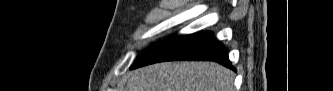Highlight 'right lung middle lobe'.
<instances>
[{
    "label": "right lung middle lobe",
    "mask_w": 333,
    "mask_h": 91,
    "mask_svg": "<svg viewBox=\"0 0 333 91\" xmlns=\"http://www.w3.org/2000/svg\"><path fill=\"white\" fill-rule=\"evenodd\" d=\"M163 41H164V40H163ZM160 43H161V42H160ZM160 43H159V44H160ZM157 45H158V44H157ZM157 45H155V46H157ZM155 46H154V47H155ZM154 47L148 49L146 52H144V54H143L142 56H144L147 52H149V51H150L151 49H153ZM142 56H141V57H142ZM141 57H140V58H141ZM140 58H139V59H140Z\"/></svg>",
    "instance_id": "obj_1"
}]
</instances>
